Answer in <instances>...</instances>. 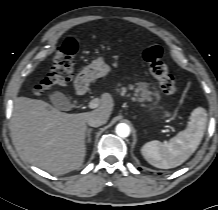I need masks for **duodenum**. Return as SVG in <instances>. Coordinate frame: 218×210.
I'll return each instance as SVG.
<instances>
[{"label":"duodenum","instance_id":"obj_1","mask_svg":"<svg viewBox=\"0 0 218 210\" xmlns=\"http://www.w3.org/2000/svg\"><path fill=\"white\" fill-rule=\"evenodd\" d=\"M76 88L81 94L85 92V90L87 88V81L83 76L77 78Z\"/></svg>","mask_w":218,"mask_h":210}]
</instances>
